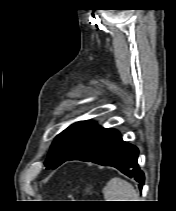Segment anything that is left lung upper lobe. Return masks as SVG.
Returning <instances> with one entry per match:
<instances>
[{
    "label": "left lung upper lobe",
    "instance_id": "obj_1",
    "mask_svg": "<svg viewBox=\"0 0 176 211\" xmlns=\"http://www.w3.org/2000/svg\"><path fill=\"white\" fill-rule=\"evenodd\" d=\"M102 127L91 121L76 122L60 133L51 145L45 161L47 169H54L77 153Z\"/></svg>",
    "mask_w": 176,
    "mask_h": 211
}]
</instances>
